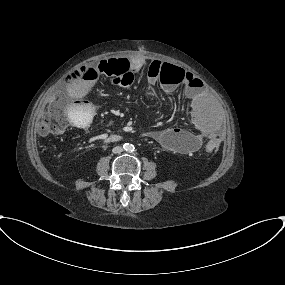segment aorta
Instances as JSON below:
<instances>
[{
  "instance_id": "1",
  "label": "aorta",
  "mask_w": 285,
  "mask_h": 285,
  "mask_svg": "<svg viewBox=\"0 0 285 285\" xmlns=\"http://www.w3.org/2000/svg\"><path fill=\"white\" fill-rule=\"evenodd\" d=\"M124 149L126 151H133L134 150V145L126 143V144H124Z\"/></svg>"
}]
</instances>
